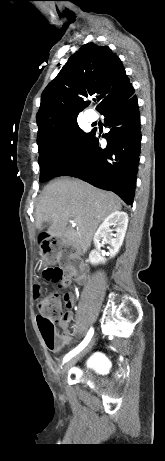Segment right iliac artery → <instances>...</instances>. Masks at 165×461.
<instances>
[{"label": "right iliac artery", "mask_w": 165, "mask_h": 461, "mask_svg": "<svg viewBox=\"0 0 165 461\" xmlns=\"http://www.w3.org/2000/svg\"><path fill=\"white\" fill-rule=\"evenodd\" d=\"M94 333V330L91 328L85 337V339L77 346L74 350L70 351L66 356L64 357V362H67L69 359H71L73 356H75L78 352H80L90 341Z\"/></svg>", "instance_id": "82829eb1"}]
</instances>
